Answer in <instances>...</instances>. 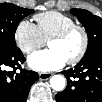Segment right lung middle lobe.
I'll return each mask as SVG.
<instances>
[{"label": "right lung middle lobe", "instance_id": "1", "mask_svg": "<svg viewBox=\"0 0 102 102\" xmlns=\"http://www.w3.org/2000/svg\"><path fill=\"white\" fill-rule=\"evenodd\" d=\"M33 12V9H24L12 3L0 4V49H18L15 42L17 26L24 17Z\"/></svg>", "mask_w": 102, "mask_h": 102}]
</instances>
